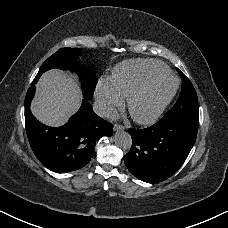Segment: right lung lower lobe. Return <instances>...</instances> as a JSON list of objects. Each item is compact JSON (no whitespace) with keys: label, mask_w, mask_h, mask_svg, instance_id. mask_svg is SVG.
<instances>
[{"label":"right lung lower lobe","mask_w":228,"mask_h":228,"mask_svg":"<svg viewBox=\"0 0 228 228\" xmlns=\"http://www.w3.org/2000/svg\"><path fill=\"white\" fill-rule=\"evenodd\" d=\"M39 78L35 77L25 98V125L30 146L40 162L53 172L80 169L93 157L96 141L113 134V126L94 113L89 99H83L79 111L61 127L37 122L30 112V103Z\"/></svg>","instance_id":"98d812e1"}]
</instances>
